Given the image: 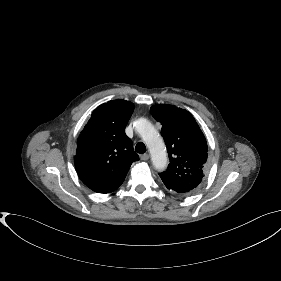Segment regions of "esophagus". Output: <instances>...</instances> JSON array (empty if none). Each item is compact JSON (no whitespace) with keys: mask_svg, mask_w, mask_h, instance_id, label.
I'll use <instances>...</instances> for the list:
<instances>
[{"mask_svg":"<svg viewBox=\"0 0 281 281\" xmlns=\"http://www.w3.org/2000/svg\"><path fill=\"white\" fill-rule=\"evenodd\" d=\"M140 159L143 160V161L148 160L149 159V154L145 153V154L140 155Z\"/></svg>","mask_w":281,"mask_h":281,"instance_id":"1","label":"esophagus"}]
</instances>
